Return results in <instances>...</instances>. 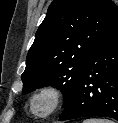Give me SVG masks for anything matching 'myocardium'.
<instances>
[{"label":"myocardium","mask_w":118,"mask_h":123,"mask_svg":"<svg viewBox=\"0 0 118 123\" xmlns=\"http://www.w3.org/2000/svg\"><path fill=\"white\" fill-rule=\"evenodd\" d=\"M40 99H46L48 107L44 112H38L35 104ZM63 101L62 90L54 84H44L36 88L28 99V110L31 115L39 119H46L55 114Z\"/></svg>","instance_id":"obj_1"}]
</instances>
